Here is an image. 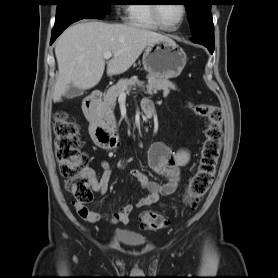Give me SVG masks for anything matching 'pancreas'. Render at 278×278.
Segmentation results:
<instances>
[{
    "label": "pancreas",
    "instance_id": "1",
    "mask_svg": "<svg viewBox=\"0 0 278 278\" xmlns=\"http://www.w3.org/2000/svg\"><path fill=\"white\" fill-rule=\"evenodd\" d=\"M148 85L146 86V93L149 95L157 94L158 91L163 90L169 92L171 89L176 90L174 83L168 79L148 75ZM143 86V82H140L136 77L130 79H120L116 85L108 89L104 94L103 102L100 107V114L108 123L113 124L115 122L114 108L116 106L117 97L123 92L124 88L132 86Z\"/></svg>",
    "mask_w": 278,
    "mask_h": 278
}]
</instances>
